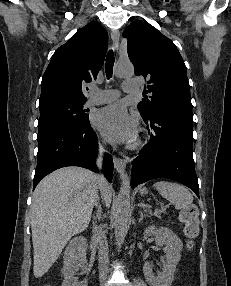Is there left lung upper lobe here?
<instances>
[{
	"instance_id": "left-lung-upper-lobe-1",
	"label": "left lung upper lobe",
	"mask_w": 231,
	"mask_h": 286,
	"mask_svg": "<svg viewBox=\"0 0 231 286\" xmlns=\"http://www.w3.org/2000/svg\"><path fill=\"white\" fill-rule=\"evenodd\" d=\"M124 37L135 75L147 80L153 95L138 104L142 117H149L157 106H174L192 110L186 66L174 43L148 22L130 24Z\"/></svg>"
}]
</instances>
